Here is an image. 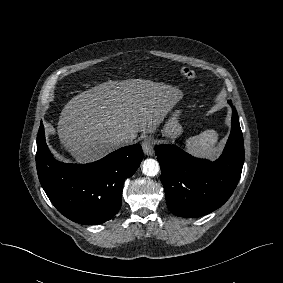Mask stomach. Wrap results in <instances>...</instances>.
<instances>
[{
    "mask_svg": "<svg viewBox=\"0 0 283 283\" xmlns=\"http://www.w3.org/2000/svg\"><path fill=\"white\" fill-rule=\"evenodd\" d=\"M181 114V110L176 109L171 113V116L164 124L161 134L169 139H176L182 133V126L179 124L178 118Z\"/></svg>",
    "mask_w": 283,
    "mask_h": 283,
    "instance_id": "stomach-1",
    "label": "stomach"
}]
</instances>
